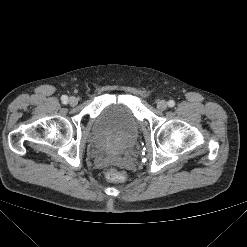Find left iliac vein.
Segmentation results:
<instances>
[{"instance_id": "4c4485c4", "label": "left iliac vein", "mask_w": 247, "mask_h": 247, "mask_svg": "<svg viewBox=\"0 0 247 247\" xmlns=\"http://www.w3.org/2000/svg\"><path fill=\"white\" fill-rule=\"evenodd\" d=\"M167 107H168V104H167L166 101H164V100L158 101V103H157V108H158L159 110L164 111V110H166Z\"/></svg>"}]
</instances>
